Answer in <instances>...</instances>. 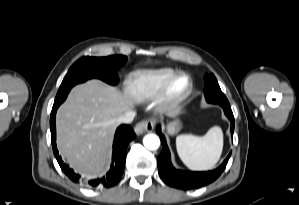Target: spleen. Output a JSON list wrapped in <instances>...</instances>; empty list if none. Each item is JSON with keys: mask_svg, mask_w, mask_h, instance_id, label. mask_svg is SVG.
<instances>
[{"mask_svg": "<svg viewBox=\"0 0 299 205\" xmlns=\"http://www.w3.org/2000/svg\"><path fill=\"white\" fill-rule=\"evenodd\" d=\"M176 148L182 162L192 170H209L218 162L223 150V133L214 126L204 136L181 134Z\"/></svg>", "mask_w": 299, "mask_h": 205, "instance_id": "spleen-1", "label": "spleen"}]
</instances>
